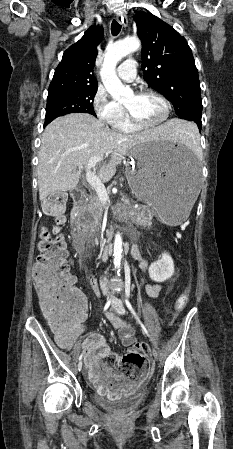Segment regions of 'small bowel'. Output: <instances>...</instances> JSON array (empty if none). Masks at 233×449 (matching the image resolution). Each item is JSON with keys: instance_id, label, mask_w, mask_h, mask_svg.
I'll return each mask as SVG.
<instances>
[{"instance_id": "small-bowel-1", "label": "small bowel", "mask_w": 233, "mask_h": 449, "mask_svg": "<svg viewBox=\"0 0 233 449\" xmlns=\"http://www.w3.org/2000/svg\"><path fill=\"white\" fill-rule=\"evenodd\" d=\"M53 231L58 233L60 230L58 227H55ZM140 267L142 270H146L147 263L141 261ZM87 278L90 280V290L95 295H99V284L94 275L89 273ZM161 289L160 284H149L146 286V293L150 298H157ZM112 324L118 331L119 338L124 346L129 347L136 344L135 330L131 325L123 322L118 317L112 318ZM54 329L58 344L67 349L73 346L81 331V329L63 330L55 327ZM83 356L88 368L89 380L99 389V399H126L132 394V390H139V384H144L145 377L148 375L147 368H136L135 375H115L113 367L109 363H102V360L110 357L117 363L120 357L111 349L100 334H93L86 339Z\"/></svg>"}]
</instances>
